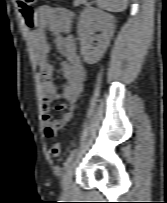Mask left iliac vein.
I'll use <instances>...</instances> for the list:
<instances>
[{
	"instance_id": "1",
	"label": "left iliac vein",
	"mask_w": 167,
	"mask_h": 203,
	"mask_svg": "<svg viewBox=\"0 0 167 203\" xmlns=\"http://www.w3.org/2000/svg\"><path fill=\"white\" fill-rule=\"evenodd\" d=\"M74 165V162L70 163L65 170V174L62 181V189L65 195H69L72 192V177Z\"/></svg>"
}]
</instances>
